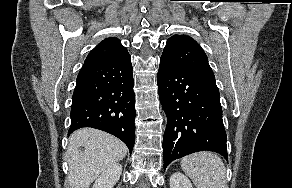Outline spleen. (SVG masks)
Segmentation results:
<instances>
[{
    "label": "spleen",
    "mask_w": 292,
    "mask_h": 188,
    "mask_svg": "<svg viewBox=\"0 0 292 188\" xmlns=\"http://www.w3.org/2000/svg\"><path fill=\"white\" fill-rule=\"evenodd\" d=\"M181 168L197 188H227L224 163L211 152L194 153L182 158Z\"/></svg>",
    "instance_id": "obj_1"
}]
</instances>
